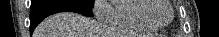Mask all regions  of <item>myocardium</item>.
<instances>
[{"label": "myocardium", "instance_id": "myocardium-1", "mask_svg": "<svg viewBox=\"0 0 219 37\" xmlns=\"http://www.w3.org/2000/svg\"><path fill=\"white\" fill-rule=\"evenodd\" d=\"M159 0H143L144 6L141 9V16L144 18V20H146L150 25L157 27V28H162L165 27L167 25H169L173 18H174V8L171 4L170 1L165 0L164 2H166L171 10V17L167 22H158L155 21L152 17L151 14L152 12L159 6Z\"/></svg>", "mask_w": 219, "mask_h": 37}]
</instances>
